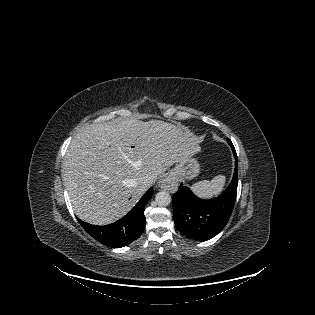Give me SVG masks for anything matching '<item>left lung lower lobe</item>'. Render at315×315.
I'll list each match as a JSON object with an SVG mask.
<instances>
[{"label": "left lung lower lobe", "mask_w": 315, "mask_h": 315, "mask_svg": "<svg viewBox=\"0 0 315 315\" xmlns=\"http://www.w3.org/2000/svg\"><path fill=\"white\" fill-rule=\"evenodd\" d=\"M228 143L231 145L230 140ZM236 159L233 179L227 189L210 200L196 197L192 191L181 184L173 195V216L176 229L185 237L206 241L217 235L227 224L232 213L238 186V161Z\"/></svg>", "instance_id": "1"}]
</instances>
